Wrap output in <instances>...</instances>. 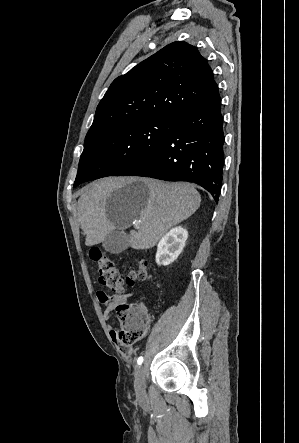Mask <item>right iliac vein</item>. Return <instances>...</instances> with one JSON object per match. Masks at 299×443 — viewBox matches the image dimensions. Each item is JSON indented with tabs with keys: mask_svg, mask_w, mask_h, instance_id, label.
Returning <instances> with one entry per match:
<instances>
[{
	"mask_svg": "<svg viewBox=\"0 0 299 443\" xmlns=\"http://www.w3.org/2000/svg\"><path fill=\"white\" fill-rule=\"evenodd\" d=\"M134 387L137 398L139 400H144L146 397V393H145V372L143 366H140L136 371Z\"/></svg>",
	"mask_w": 299,
	"mask_h": 443,
	"instance_id": "1",
	"label": "right iliac vein"
}]
</instances>
